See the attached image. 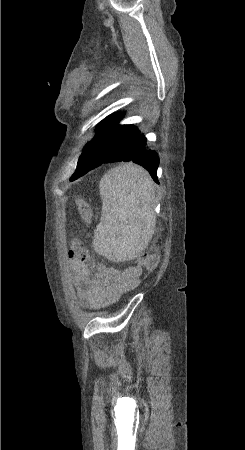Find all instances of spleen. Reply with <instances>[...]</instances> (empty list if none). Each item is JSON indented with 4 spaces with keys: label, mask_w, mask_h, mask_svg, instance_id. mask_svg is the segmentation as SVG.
Returning a JSON list of instances; mask_svg holds the SVG:
<instances>
[{
    "label": "spleen",
    "mask_w": 245,
    "mask_h": 450,
    "mask_svg": "<svg viewBox=\"0 0 245 450\" xmlns=\"http://www.w3.org/2000/svg\"><path fill=\"white\" fill-rule=\"evenodd\" d=\"M100 223L94 230L95 252L111 261L137 257L156 226L154 187L148 172L127 163L108 171L99 184Z\"/></svg>",
    "instance_id": "1"
}]
</instances>
